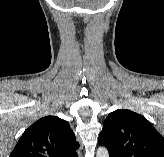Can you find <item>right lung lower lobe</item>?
<instances>
[{
	"label": "right lung lower lobe",
	"instance_id": "right-lung-lower-lobe-1",
	"mask_svg": "<svg viewBox=\"0 0 164 157\" xmlns=\"http://www.w3.org/2000/svg\"><path fill=\"white\" fill-rule=\"evenodd\" d=\"M71 157H78L76 152L73 153V155H71Z\"/></svg>",
	"mask_w": 164,
	"mask_h": 157
}]
</instances>
